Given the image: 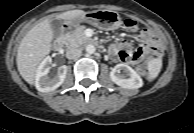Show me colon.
I'll list each match as a JSON object with an SVG mask.
<instances>
[{
  "instance_id": "colon-1",
  "label": "colon",
  "mask_w": 194,
  "mask_h": 133,
  "mask_svg": "<svg viewBox=\"0 0 194 133\" xmlns=\"http://www.w3.org/2000/svg\"><path fill=\"white\" fill-rule=\"evenodd\" d=\"M125 26L131 30V31H136L138 29V23L134 19H126L125 20ZM140 72L143 76L148 77V75L151 73V68L149 66H143L140 69Z\"/></svg>"
}]
</instances>
